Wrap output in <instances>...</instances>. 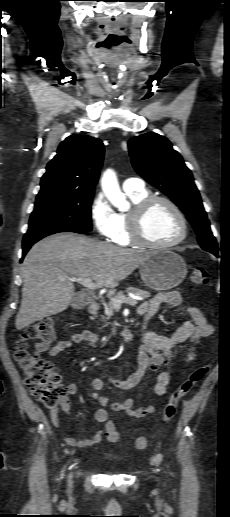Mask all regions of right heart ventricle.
<instances>
[{"mask_svg": "<svg viewBox=\"0 0 230 517\" xmlns=\"http://www.w3.org/2000/svg\"><path fill=\"white\" fill-rule=\"evenodd\" d=\"M127 194L134 205L149 196V192L146 189L142 191L127 192ZM129 214L130 213L118 214V229L112 240L121 246H130L134 244L130 238Z\"/></svg>", "mask_w": 230, "mask_h": 517, "instance_id": "obj_1", "label": "right heart ventricle"}]
</instances>
